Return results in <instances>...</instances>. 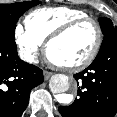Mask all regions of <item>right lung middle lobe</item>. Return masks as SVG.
Instances as JSON below:
<instances>
[{"label": "right lung middle lobe", "instance_id": "1", "mask_svg": "<svg viewBox=\"0 0 117 117\" xmlns=\"http://www.w3.org/2000/svg\"><path fill=\"white\" fill-rule=\"evenodd\" d=\"M38 4H40V1L0 4V33L14 38L17 20L26 10Z\"/></svg>", "mask_w": 117, "mask_h": 117}]
</instances>
